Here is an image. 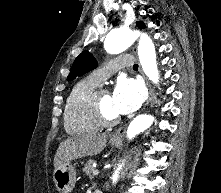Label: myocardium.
<instances>
[{
  "instance_id": "1",
  "label": "myocardium",
  "mask_w": 221,
  "mask_h": 193,
  "mask_svg": "<svg viewBox=\"0 0 221 193\" xmlns=\"http://www.w3.org/2000/svg\"><path fill=\"white\" fill-rule=\"evenodd\" d=\"M107 88L98 85L86 97L83 102L85 112L102 126H113L120 121V116H110L102 105V96Z\"/></svg>"
}]
</instances>
